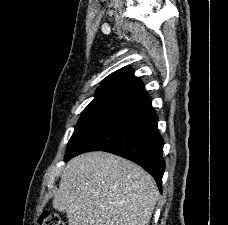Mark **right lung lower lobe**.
<instances>
[{
	"label": "right lung lower lobe",
	"mask_w": 228,
	"mask_h": 225,
	"mask_svg": "<svg viewBox=\"0 0 228 225\" xmlns=\"http://www.w3.org/2000/svg\"><path fill=\"white\" fill-rule=\"evenodd\" d=\"M158 117L149 95L143 90L126 105L91 130L65 156L72 157L90 151H106L131 160L149 172L162 193L165 170L163 138L157 129Z\"/></svg>",
	"instance_id": "98d812e1"
}]
</instances>
